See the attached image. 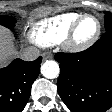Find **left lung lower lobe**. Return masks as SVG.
<instances>
[{
	"label": "left lung lower lobe",
	"mask_w": 112,
	"mask_h": 112,
	"mask_svg": "<svg viewBox=\"0 0 112 112\" xmlns=\"http://www.w3.org/2000/svg\"><path fill=\"white\" fill-rule=\"evenodd\" d=\"M58 93L73 112H105L112 107V30L90 48L57 53Z\"/></svg>",
	"instance_id": "0a47b994"
}]
</instances>
